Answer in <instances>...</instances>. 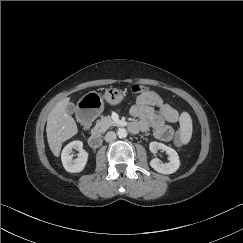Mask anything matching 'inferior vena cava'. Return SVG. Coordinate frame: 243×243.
Segmentation results:
<instances>
[{"mask_svg":"<svg viewBox=\"0 0 243 243\" xmlns=\"http://www.w3.org/2000/svg\"><path fill=\"white\" fill-rule=\"evenodd\" d=\"M104 139L106 142H112L116 139V133L113 131H109L106 133Z\"/></svg>","mask_w":243,"mask_h":243,"instance_id":"obj_1","label":"inferior vena cava"}]
</instances>
